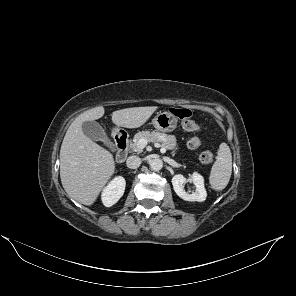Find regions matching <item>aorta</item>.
I'll return each instance as SVG.
<instances>
[{
  "instance_id": "aorta-1",
  "label": "aorta",
  "mask_w": 296,
  "mask_h": 296,
  "mask_svg": "<svg viewBox=\"0 0 296 296\" xmlns=\"http://www.w3.org/2000/svg\"><path fill=\"white\" fill-rule=\"evenodd\" d=\"M163 167V161L161 159H153L151 162H150V168L154 171H159L161 170Z\"/></svg>"
}]
</instances>
